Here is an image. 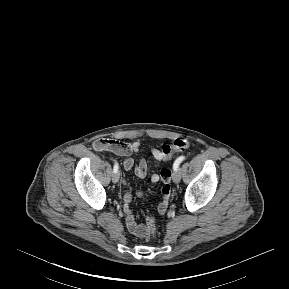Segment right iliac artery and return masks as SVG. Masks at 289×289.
Listing matches in <instances>:
<instances>
[{
	"mask_svg": "<svg viewBox=\"0 0 289 289\" xmlns=\"http://www.w3.org/2000/svg\"><path fill=\"white\" fill-rule=\"evenodd\" d=\"M118 169H119L118 163H115V164H114V167H113V171H114V172H117Z\"/></svg>",
	"mask_w": 289,
	"mask_h": 289,
	"instance_id": "right-iliac-artery-1",
	"label": "right iliac artery"
}]
</instances>
